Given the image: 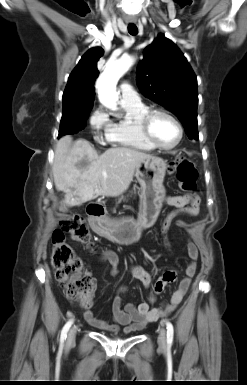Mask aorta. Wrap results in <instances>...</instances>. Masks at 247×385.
<instances>
[{
    "mask_svg": "<svg viewBox=\"0 0 247 385\" xmlns=\"http://www.w3.org/2000/svg\"><path fill=\"white\" fill-rule=\"evenodd\" d=\"M135 59L131 56L121 57L118 60H110L102 74L96 81V89L99 101L108 109L116 111L119 93L116 86L119 79L134 64Z\"/></svg>",
    "mask_w": 247,
    "mask_h": 385,
    "instance_id": "762f6f07",
    "label": "aorta"
}]
</instances>
